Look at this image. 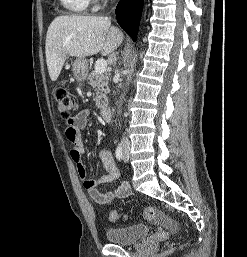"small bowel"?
I'll return each instance as SVG.
<instances>
[{"label":"small bowel","instance_id":"c3829d8e","mask_svg":"<svg viewBox=\"0 0 247 257\" xmlns=\"http://www.w3.org/2000/svg\"><path fill=\"white\" fill-rule=\"evenodd\" d=\"M90 112L83 110L72 117L66 124L65 135L73 144L70 150V157L76 165L77 173L82 180L84 188L88 191L91 198L100 205H110L117 198H126L131 194V188L128 183L122 182L111 191H103L99 187L116 180L119 176L118 168L114 162L112 152L109 149H102L99 152L103 163L105 173L95 179L87 176L82 156L85 152L81 130L87 125ZM154 210V209H153ZM155 211V210H154ZM155 221L165 225L168 229L174 230L175 224L165 214L155 211Z\"/></svg>","mask_w":247,"mask_h":257}]
</instances>
